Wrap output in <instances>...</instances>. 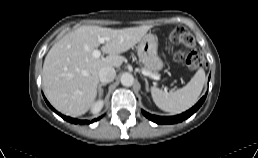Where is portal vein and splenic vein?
<instances>
[{
  "label": "portal vein and splenic vein",
  "mask_w": 258,
  "mask_h": 158,
  "mask_svg": "<svg viewBox=\"0 0 258 158\" xmlns=\"http://www.w3.org/2000/svg\"><path fill=\"white\" fill-rule=\"evenodd\" d=\"M105 41H106V39H105L104 37H99V38H98V42H99L100 44H104ZM92 55H93V57H95V58H99V57L101 56V51L98 50V49H96V50H94V51L92 52ZM142 74L145 75V76H147V77H149V78H152V79H154V80H159V76L154 75V74H152V73H150V72L142 71Z\"/></svg>",
  "instance_id": "obj_1"
}]
</instances>
